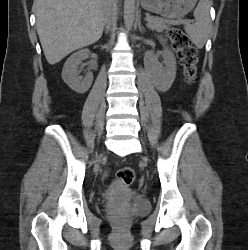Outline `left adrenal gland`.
Listing matches in <instances>:
<instances>
[{
    "mask_svg": "<svg viewBox=\"0 0 248 250\" xmlns=\"http://www.w3.org/2000/svg\"><path fill=\"white\" fill-rule=\"evenodd\" d=\"M138 27H139V31H140L141 33H144L145 28H144L143 26H141V23H140V22H139Z\"/></svg>",
    "mask_w": 248,
    "mask_h": 250,
    "instance_id": "obj_1",
    "label": "left adrenal gland"
}]
</instances>
